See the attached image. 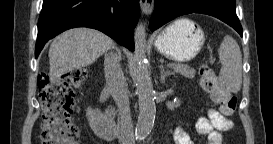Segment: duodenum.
<instances>
[{
    "instance_id": "410a0bca",
    "label": "duodenum",
    "mask_w": 273,
    "mask_h": 144,
    "mask_svg": "<svg viewBox=\"0 0 273 144\" xmlns=\"http://www.w3.org/2000/svg\"><path fill=\"white\" fill-rule=\"evenodd\" d=\"M88 121L94 133L100 138L111 141L116 139L119 135L113 119L105 114L97 105L90 107Z\"/></svg>"
}]
</instances>
